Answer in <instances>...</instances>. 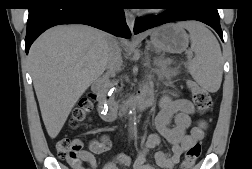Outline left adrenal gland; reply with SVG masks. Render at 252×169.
Instances as JSON below:
<instances>
[{"label": "left adrenal gland", "mask_w": 252, "mask_h": 169, "mask_svg": "<svg viewBox=\"0 0 252 169\" xmlns=\"http://www.w3.org/2000/svg\"><path fill=\"white\" fill-rule=\"evenodd\" d=\"M146 49H147V51L150 50V49H151V46L148 45ZM146 57H147V61L149 62V56L147 55Z\"/></svg>", "instance_id": "left-adrenal-gland-1"}]
</instances>
